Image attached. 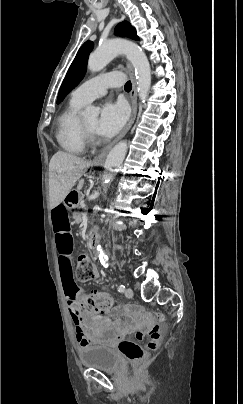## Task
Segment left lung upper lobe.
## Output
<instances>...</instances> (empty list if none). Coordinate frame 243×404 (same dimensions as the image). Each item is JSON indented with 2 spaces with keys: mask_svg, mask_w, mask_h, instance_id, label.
<instances>
[{
  "mask_svg": "<svg viewBox=\"0 0 243 404\" xmlns=\"http://www.w3.org/2000/svg\"><path fill=\"white\" fill-rule=\"evenodd\" d=\"M115 35L121 37H129L135 40L139 39L136 35V30L128 22H122L118 24L115 28ZM93 46V42L87 41L80 47L60 87L57 97V103H60L84 77L88 56L93 49Z\"/></svg>",
  "mask_w": 243,
  "mask_h": 404,
  "instance_id": "1",
  "label": "left lung upper lobe"
}]
</instances>
